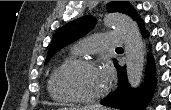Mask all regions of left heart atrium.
<instances>
[{
	"mask_svg": "<svg viewBox=\"0 0 171 110\" xmlns=\"http://www.w3.org/2000/svg\"><path fill=\"white\" fill-rule=\"evenodd\" d=\"M101 73L107 81L113 76V71L110 66H106Z\"/></svg>",
	"mask_w": 171,
	"mask_h": 110,
	"instance_id": "39dd6f15",
	"label": "left heart atrium"
}]
</instances>
